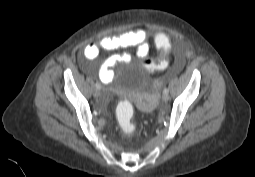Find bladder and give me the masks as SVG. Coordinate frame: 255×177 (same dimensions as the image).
I'll return each instance as SVG.
<instances>
[{
  "instance_id": "31cf9c89",
  "label": "bladder",
  "mask_w": 255,
  "mask_h": 177,
  "mask_svg": "<svg viewBox=\"0 0 255 177\" xmlns=\"http://www.w3.org/2000/svg\"><path fill=\"white\" fill-rule=\"evenodd\" d=\"M128 67L129 66L126 67L124 76L121 79L116 80L113 78L107 83V92L108 94L118 95L133 100L140 110L145 111V104L138 96L143 91L145 77L149 71L142 66L135 76H130L127 72Z\"/></svg>"
}]
</instances>
